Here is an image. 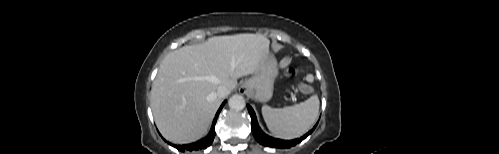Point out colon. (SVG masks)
<instances>
[{
	"instance_id": "5ec220e1",
	"label": "colon",
	"mask_w": 499,
	"mask_h": 154,
	"mask_svg": "<svg viewBox=\"0 0 499 154\" xmlns=\"http://www.w3.org/2000/svg\"><path fill=\"white\" fill-rule=\"evenodd\" d=\"M290 73H291V74H294V70H290ZM301 90H302L304 93H309V92H311V88H310V86H309V85H307V84H302V85H301Z\"/></svg>"
}]
</instances>
